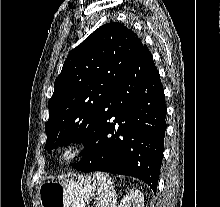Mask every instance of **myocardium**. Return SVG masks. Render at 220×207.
<instances>
[{
	"mask_svg": "<svg viewBox=\"0 0 220 207\" xmlns=\"http://www.w3.org/2000/svg\"><path fill=\"white\" fill-rule=\"evenodd\" d=\"M83 153V146L79 141L70 140L60 146L57 160L60 164H70L76 161Z\"/></svg>",
	"mask_w": 220,
	"mask_h": 207,
	"instance_id": "myocardium-1",
	"label": "myocardium"
}]
</instances>
